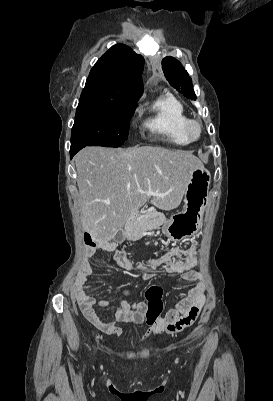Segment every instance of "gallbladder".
Wrapping results in <instances>:
<instances>
[{
  "label": "gallbladder",
  "instance_id": "gallbladder-1",
  "mask_svg": "<svg viewBox=\"0 0 273 401\" xmlns=\"http://www.w3.org/2000/svg\"><path fill=\"white\" fill-rule=\"evenodd\" d=\"M116 239H117V241H123V235H122L121 231H119V233H117Z\"/></svg>",
  "mask_w": 273,
  "mask_h": 401
}]
</instances>
